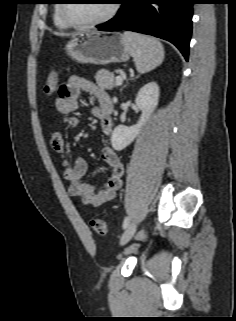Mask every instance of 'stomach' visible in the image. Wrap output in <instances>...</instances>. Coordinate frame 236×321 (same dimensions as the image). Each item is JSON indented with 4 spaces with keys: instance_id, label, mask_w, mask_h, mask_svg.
I'll return each instance as SVG.
<instances>
[{
    "instance_id": "obj_1",
    "label": "stomach",
    "mask_w": 236,
    "mask_h": 321,
    "mask_svg": "<svg viewBox=\"0 0 236 321\" xmlns=\"http://www.w3.org/2000/svg\"><path fill=\"white\" fill-rule=\"evenodd\" d=\"M65 49L69 57L84 64L121 63L131 56L118 32H81L72 37Z\"/></svg>"
}]
</instances>
